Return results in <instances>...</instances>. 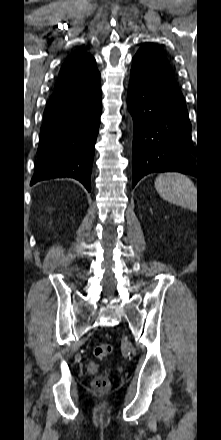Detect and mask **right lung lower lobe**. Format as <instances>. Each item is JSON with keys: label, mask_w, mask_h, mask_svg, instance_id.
Listing matches in <instances>:
<instances>
[{"label": "right lung lower lobe", "mask_w": 221, "mask_h": 440, "mask_svg": "<svg viewBox=\"0 0 221 440\" xmlns=\"http://www.w3.org/2000/svg\"><path fill=\"white\" fill-rule=\"evenodd\" d=\"M99 79L92 84L54 90L48 100L31 185L71 177L90 192L95 142L102 111Z\"/></svg>", "instance_id": "obj_1"}]
</instances>
